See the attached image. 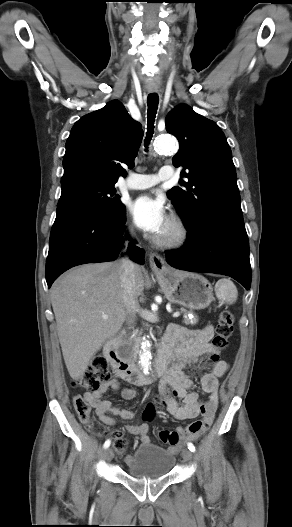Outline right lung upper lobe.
I'll list each match as a JSON object with an SVG mask.
<instances>
[{
  "label": "right lung upper lobe",
  "mask_w": 292,
  "mask_h": 527,
  "mask_svg": "<svg viewBox=\"0 0 292 527\" xmlns=\"http://www.w3.org/2000/svg\"><path fill=\"white\" fill-rule=\"evenodd\" d=\"M143 131L118 101L80 118L66 142L61 182L84 177L115 184L133 168Z\"/></svg>",
  "instance_id": "1"
}]
</instances>
